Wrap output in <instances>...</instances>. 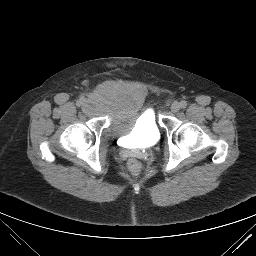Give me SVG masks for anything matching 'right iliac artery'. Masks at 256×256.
Instances as JSON below:
<instances>
[{
    "label": "right iliac artery",
    "instance_id": "82829eb1",
    "mask_svg": "<svg viewBox=\"0 0 256 256\" xmlns=\"http://www.w3.org/2000/svg\"><path fill=\"white\" fill-rule=\"evenodd\" d=\"M84 101H85L84 98H80V99L76 102V105H77L78 107H80V106L83 104Z\"/></svg>",
    "mask_w": 256,
    "mask_h": 256
}]
</instances>
